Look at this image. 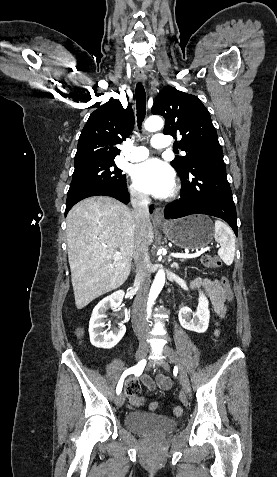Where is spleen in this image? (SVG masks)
Returning <instances> with one entry per match:
<instances>
[{"label":"spleen","instance_id":"obj_1","mask_svg":"<svg viewBox=\"0 0 277 477\" xmlns=\"http://www.w3.org/2000/svg\"><path fill=\"white\" fill-rule=\"evenodd\" d=\"M215 240L220 244L219 257L226 265H231L235 255V237L232 230L222 221H215Z\"/></svg>","mask_w":277,"mask_h":477}]
</instances>
